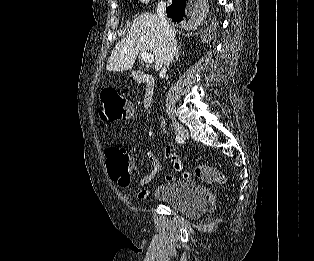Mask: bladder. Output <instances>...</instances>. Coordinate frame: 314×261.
Wrapping results in <instances>:
<instances>
[{
    "label": "bladder",
    "mask_w": 314,
    "mask_h": 261,
    "mask_svg": "<svg viewBox=\"0 0 314 261\" xmlns=\"http://www.w3.org/2000/svg\"><path fill=\"white\" fill-rule=\"evenodd\" d=\"M153 197L190 217L202 214L208 206L206 188L192 181L181 180L160 185Z\"/></svg>",
    "instance_id": "31cf9c89"
}]
</instances>
